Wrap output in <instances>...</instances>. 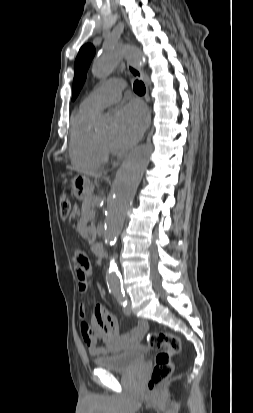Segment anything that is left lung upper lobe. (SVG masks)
Segmentation results:
<instances>
[{
	"instance_id": "1",
	"label": "left lung upper lobe",
	"mask_w": 253,
	"mask_h": 413,
	"mask_svg": "<svg viewBox=\"0 0 253 413\" xmlns=\"http://www.w3.org/2000/svg\"><path fill=\"white\" fill-rule=\"evenodd\" d=\"M95 55V48L91 44H86L81 47L75 60L74 79H73V95L72 100H75L82 88L87 70Z\"/></svg>"
}]
</instances>
